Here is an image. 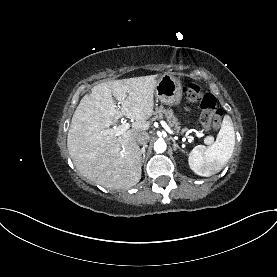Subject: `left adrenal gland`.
Returning <instances> with one entry per match:
<instances>
[{"label":"left adrenal gland","instance_id":"obj_1","mask_svg":"<svg viewBox=\"0 0 277 277\" xmlns=\"http://www.w3.org/2000/svg\"><path fill=\"white\" fill-rule=\"evenodd\" d=\"M170 139H171L172 142H173V150L176 151L177 149H179L182 153H184V150L181 149V148L176 144L175 140H174L172 137H170Z\"/></svg>","mask_w":277,"mask_h":277}]
</instances>
